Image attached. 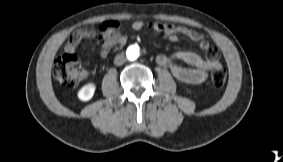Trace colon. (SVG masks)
Segmentation results:
<instances>
[{
  "instance_id": "1",
  "label": "colon",
  "mask_w": 283,
  "mask_h": 162,
  "mask_svg": "<svg viewBox=\"0 0 283 162\" xmlns=\"http://www.w3.org/2000/svg\"><path fill=\"white\" fill-rule=\"evenodd\" d=\"M55 78L65 88H74L84 75L83 67L74 54H64L57 58L53 66ZM227 73L222 67H217L211 74V82L216 88H221L226 82Z\"/></svg>"
}]
</instances>
